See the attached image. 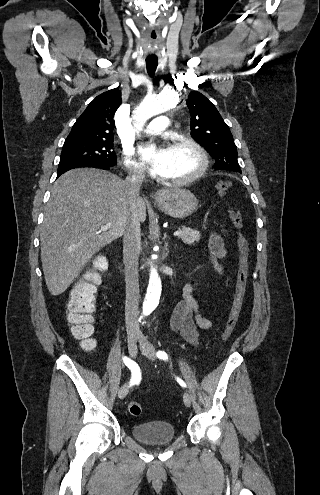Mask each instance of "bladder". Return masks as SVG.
Returning a JSON list of instances; mask_svg holds the SVG:
<instances>
[{"label": "bladder", "mask_w": 320, "mask_h": 495, "mask_svg": "<svg viewBox=\"0 0 320 495\" xmlns=\"http://www.w3.org/2000/svg\"><path fill=\"white\" fill-rule=\"evenodd\" d=\"M133 436L146 444H165L175 436L174 426L167 421H148L136 424L132 429Z\"/></svg>", "instance_id": "31cf9c89"}]
</instances>
